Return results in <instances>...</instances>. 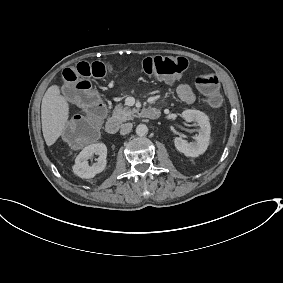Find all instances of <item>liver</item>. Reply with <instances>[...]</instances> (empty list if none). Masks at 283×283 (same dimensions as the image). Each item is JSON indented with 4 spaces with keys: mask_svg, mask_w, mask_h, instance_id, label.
I'll return each instance as SVG.
<instances>
[{
    "mask_svg": "<svg viewBox=\"0 0 283 283\" xmlns=\"http://www.w3.org/2000/svg\"><path fill=\"white\" fill-rule=\"evenodd\" d=\"M70 117V104L61 94L58 84L50 86L42 99L41 119L43 137L51 147L63 134Z\"/></svg>",
    "mask_w": 283,
    "mask_h": 283,
    "instance_id": "liver-1",
    "label": "liver"
}]
</instances>
